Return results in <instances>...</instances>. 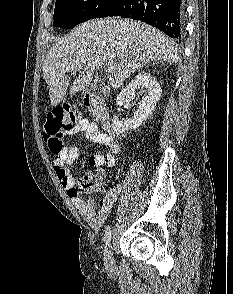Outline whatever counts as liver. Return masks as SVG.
<instances>
[{"label": "liver", "instance_id": "1", "mask_svg": "<svg viewBox=\"0 0 233 294\" xmlns=\"http://www.w3.org/2000/svg\"><path fill=\"white\" fill-rule=\"evenodd\" d=\"M177 48L158 29L129 19L105 18L82 23L60 38L49 50L43 65V78L49 86L52 106L66 96L70 85L67 73L81 66L70 95L85 90L94 72L103 65L113 66L109 84L121 87L136 70L149 63H177Z\"/></svg>", "mask_w": 233, "mask_h": 294}]
</instances>
